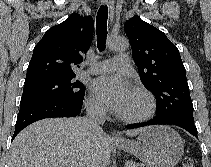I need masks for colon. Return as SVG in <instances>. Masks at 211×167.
Masks as SVG:
<instances>
[{
	"instance_id": "5ec220e1",
	"label": "colon",
	"mask_w": 211,
	"mask_h": 167,
	"mask_svg": "<svg viewBox=\"0 0 211 167\" xmlns=\"http://www.w3.org/2000/svg\"><path fill=\"white\" fill-rule=\"evenodd\" d=\"M182 167H194V162L192 159L188 158L182 164Z\"/></svg>"
}]
</instances>
